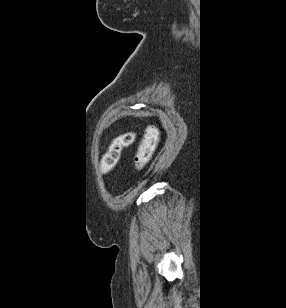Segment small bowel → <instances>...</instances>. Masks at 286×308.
Here are the masks:
<instances>
[{
    "mask_svg": "<svg viewBox=\"0 0 286 308\" xmlns=\"http://www.w3.org/2000/svg\"><path fill=\"white\" fill-rule=\"evenodd\" d=\"M158 137H159L158 130L153 127H150L146 130L143 140L152 138L156 142L158 140Z\"/></svg>",
    "mask_w": 286,
    "mask_h": 308,
    "instance_id": "c3829d8e",
    "label": "small bowel"
}]
</instances>
